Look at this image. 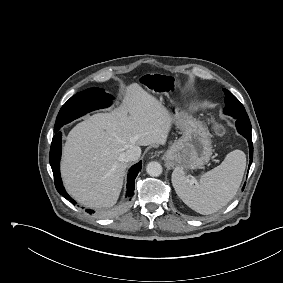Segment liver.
<instances>
[{
  "label": "liver",
  "mask_w": 283,
  "mask_h": 283,
  "mask_svg": "<svg viewBox=\"0 0 283 283\" xmlns=\"http://www.w3.org/2000/svg\"><path fill=\"white\" fill-rule=\"evenodd\" d=\"M172 124L161 102L130 84L120 107L94 114L69 132L61 163L68 193L89 207L113 206L127 168L122 154L134 146L164 144Z\"/></svg>",
  "instance_id": "1"
}]
</instances>
